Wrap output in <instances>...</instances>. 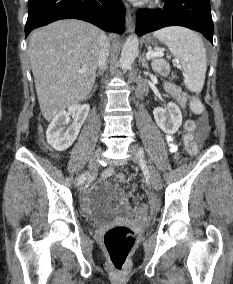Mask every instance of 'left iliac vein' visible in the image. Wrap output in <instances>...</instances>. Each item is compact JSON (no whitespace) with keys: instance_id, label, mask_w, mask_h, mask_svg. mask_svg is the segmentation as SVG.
<instances>
[{"instance_id":"4c4485c4","label":"left iliac vein","mask_w":233,"mask_h":284,"mask_svg":"<svg viewBox=\"0 0 233 284\" xmlns=\"http://www.w3.org/2000/svg\"><path fill=\"white\" fill-rule=\"evenodd\" d=\"M130 153H131L132 160L148 168L150 182H151L152 187L155 190H160L162 187V180H161L160 174L157 171V169L149 161L146 160L143 154V151L136 146H131Z\"/></svg>"}]
</instances>
